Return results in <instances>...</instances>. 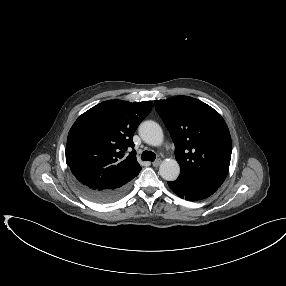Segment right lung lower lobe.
<instances>
[{"label": "right lung lower lobe", "mask_w": 286, "mask_h": 286, "mask_svg": "<svg viewBox=\"0 0 286 286\" xmlns=\"http://www.w3.org/2000/svg\"><path fill=\"white\" fill-rule=\"evenodd\" d=\"M132 180V179H131ZM129 182V181H128ZM108 185L106 187L91 186L90 182L76 179L79 189L90 199L98 203H110L121 198L129 188V183Z\"/></svg>", "instance_id": "obj_1"}]
</instances>
